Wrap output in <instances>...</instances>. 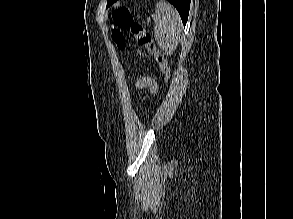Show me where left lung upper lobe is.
Returning a JSON list of instances; mask_svg holds the SVG:
<instances>
[{
    "instance_id": "5c2ea615",
    "label": "left lung upper lobe",
    "mask_w": 293,
    "mask_h": 219,
    "mask_svg": "<svg viewBox=\"0 0 293 219\" xmlns=\"http://www.w3.org/2000/svg\"><path fill=\"white\" fill-rule=\"evenodd\" d=\"M114 2H116V0H108V2H107V6L112 5Z\"/></svg>"
}]
</instances>
